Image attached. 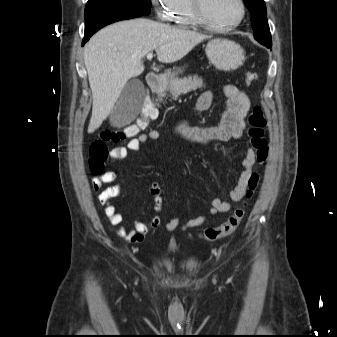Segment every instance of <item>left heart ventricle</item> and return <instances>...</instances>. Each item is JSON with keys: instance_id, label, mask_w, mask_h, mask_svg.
Masks as SVG:
<instances>
[{"instance_id": "1", "label": "left heart ventricle", "mask_w": 337, "mask_h": 337, "mask_svg": "<svg viewBox=\"0 0 337 337\" xmlns=\"http://www.w3.org/2000/svg\"><path fill=\"white\" fill-rule=\"evenodd\" d=\"M203 9L207 18L218 25H228L240 16L237 0H203Z\"/></svg>"}]
</instances>
